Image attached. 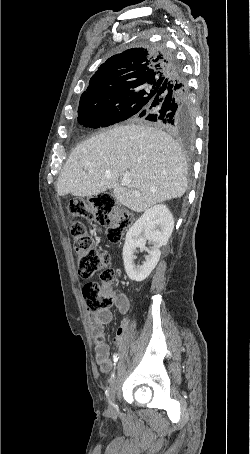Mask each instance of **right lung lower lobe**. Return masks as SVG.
I'll return each instance as SVG.
<instances>
[{
	"instance_id": "right-lung-lower-lobe-1",
	"label": "right lung lower lobe",
	"mask_w": 250,
	"mask_h": 454,
	"mask_svg": "<svg viewBox=\"0 0 250 454\" xmlns=\"http://www.w3.org/2000/svg\"><path fill=\"white\" fill-rule=\"evenodd\" d=\"M163 53L171 71L152 102L137 117L160 124L177 134L188 135L194 129V116L186 78L176 59L166 50Z\"/></svg>"
}]
</instances>
